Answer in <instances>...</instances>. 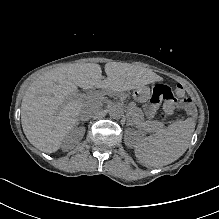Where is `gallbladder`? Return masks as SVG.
Returning <instances> with one entry per match:
<instances>
[{
  "label": "gallbladder",
  "instance_id": "gallbladder-1",
  "mask_svg": "<svg viewBox=\"0 0 219 219\" xmlns=\"http://www.w3.org/2000/svg\"><path fill=\"white\" fill-rule=\"evenodd\" d=\"M50 96L53 95V93H49ZM66 103V101H63L62 106Z\"/></svg>",
  "mask_w": 219,
  "mask_h": 219
}]
</instances>
